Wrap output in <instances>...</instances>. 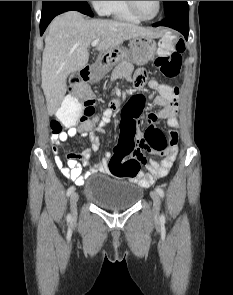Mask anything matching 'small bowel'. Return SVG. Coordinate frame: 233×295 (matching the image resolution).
Here are the masks:
<instances>
[{"mask_svg": "<svg viewBox=\"0 0 233 295\" xmlns=\"http://www.w3.org/2000/svg\"><path fill=\"white\" fill-rule=\"evenodd\" d=\"M136 83L139 85L146 80L145 70H139L135 76ZM146 98L143 94H137L133 96L126 105L124 112H129L133 119L138 120L142 109L144 108ZM154 104L161 107L158 112H153L148 115V122L153 126L158 120H164L170 128H178L179 121L177 119L178 96L168 98L162 95H157L154 100ZM112 118V110L107 109L104 111L98 125L96 127L86 128L81 123L78 126L74 124L69 125L68 129L59 134L53 135L51 138L52 152L55 155V163L60 169L62 174L73 181L77 185H83L86 178L91 175L102 172L110 173L109 162L111 159L110 153H105L98 163L83 173V167H86L90 163L92 152L99 149L100 140L97 136L98 131H102L110 122ZM83 133V136H88L91 147L81 152L70 151L65 155L66 164L63 162L62 156L59 154L61 147L68 145L70 138L76 137L78 133ZM168 140L171 145L165 152L161 161L150 159L146 165L147 173L140 171L133 181L142 187L151 186L156 180L165 177L173 166V163L177 157V142L178 133L176 131H170L168 134Z\"/></svg>", "mask_w": 233, "mask_h": 295, "instance_id": "1", "label": "small bowel"}]
</instances>
